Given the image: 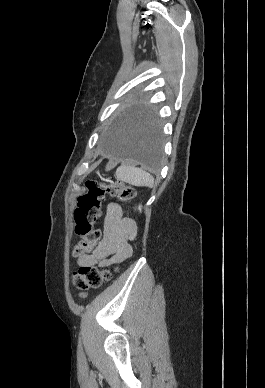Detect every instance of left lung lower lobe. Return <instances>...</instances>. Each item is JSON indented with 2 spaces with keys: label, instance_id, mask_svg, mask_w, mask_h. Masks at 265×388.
Segmentation results:
<instances>
[{
  "label": "left lung lower lobe",
  "instance_id": "1",
  "mask_svg": "<svg viewBox=\"0 0 265 388\" xmlns=\"http://www.w3.org/2000/svg\"><path fill=\"white\" fill-rule=\"evenodd\" d=\"M104 147L117 158L158 169L162 133L154 112L137 109L122 112L107 134Z\"/></svg>",
  "mask_w": 265,
  "mask_h": 388
}]
</instances>
